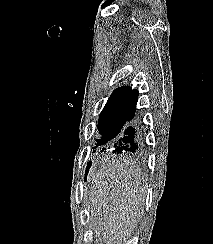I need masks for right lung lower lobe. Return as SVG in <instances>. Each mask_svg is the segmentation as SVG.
Here are the masks:
<instances>
[{
  "mask_svg": "<svg viewBox=\"0 0 213 244\" xmlns=\"http://www.w3.org/2000/svg\"><path fill=\"white\" fill-rule=\"evenodd\" d=\"M139 136L133 123H127L121 134L113 141L108 142L109 149L116 154L137 153L139 149ZM103 148L101 152L105 151Z\"/></svg>",
  "mask_w": 213,
  "mask_h": 244,
  "instance_id": "obj_1",
  "label": "right lung lower lobe"
}]
</instances>
